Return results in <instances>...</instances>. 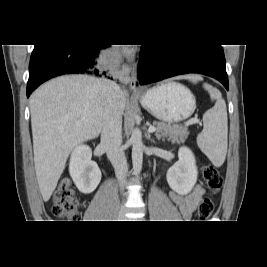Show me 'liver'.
Here are the masks:
<instances>
[{
  "instance_id": "obj_1",
  "label": "liver",
  "mask_w": 267,
  "mask_h": 267,
  "mask_svg": "<svg viewBox=\"0 0 267 267\" xmlns=\"http://www.w3.org/2000/svg\"><path fill=\"white\" fill-rule=\"evenodd\" d=\"M179 79L201 80L198 75ZM102 79L69 75L53 79L30 97L34 164L43 200L47 202L62 175L70 152L99 136L105 116ZM125 94H118L123 113Z\"/></svg>"
}]
</instances>
